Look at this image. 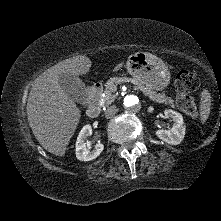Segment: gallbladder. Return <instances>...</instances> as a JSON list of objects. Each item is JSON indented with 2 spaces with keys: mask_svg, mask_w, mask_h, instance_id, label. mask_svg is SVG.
I'll list each match as a JSON object with an SVG mask.
<instances>
[{
  "mask_svg": "<svg viewBox=\"0 0 221 221\" xmlns=\"http://www.w3.org/2000/svg\"><path fill=\"white\" fill-rule=\"evenodd\" d=\"M59 83L65 93L81 105L86 104V88L82 80L72 74L63 73L59 77Z\"/></svg>",
  "mask_w": 221,
  "mask_h": 221,
  "instance_id": "bac80fb5",
  "label": "gallbladder"
}]
</instances>
